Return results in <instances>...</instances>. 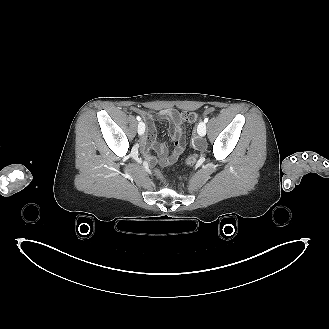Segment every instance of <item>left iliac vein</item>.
<instances>
[{
  "label": "left iliac vein",
  "mask_w": 329,
  "mask_h": 329,
  "mask_svg": "<svg viewBox=\"0 0 329 329\" xmlns=\"http://www.w3.org/2000/svg\"><path fill=\"white\" fill-rule=\"evenodd\" d=\"M197 132L199 136L203 137L206 134V123L205 122H200L197 127Z\"/></svg>",
  "instance_id": "left-iliac-vein-1"
}]
</instances>
